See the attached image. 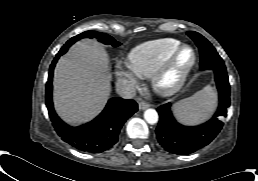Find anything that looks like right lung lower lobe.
Here are the masks:
<instances>
[{
	"instance_id": "98d812e1",
	"label": "right lung lower lobe",
	"mask_w": 258,
	"mask_h": 181,
	"mask_svg": "<svg viewBox=\"0 0 258 181\" xmlns=\"http://www.w3.org/2000/svg\"><path fill=\"white\" fill-rule=\"evenodd\" d=\"M69 47L61 49L54 58L46 84V105L48 113L58 135L74 148L93 153H101L118 141V134L125 121L133 115L138 106L134 100L119 97L111 98L102 113L91 122L71 127L65 124L55 113L52 103V76L55 64Z\"/></svg>"
}]
</instances>
